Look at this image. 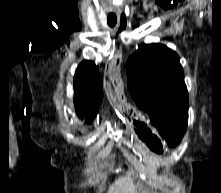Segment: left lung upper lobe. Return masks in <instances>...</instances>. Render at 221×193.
Listing matches in <instances>:
<instances>
[{
  "label": "left lung upper lobe",
  "instance_id": "left-lung-upper-lobe-1",
  "mask_svg": "<svg viewBox=\"0 0 221 193\" xmlns=\"http://www.w3.org/2000/svg\"><path fill=\"white\" fill-rule=\"evenodd\" d=\"M128 88L151 123L175 147L188 122V92L178 55L161 44L142 45L127 60Z\"/></svg>",
  "mask_w": 221,
  "mask_h": 193
}]
</instances>
